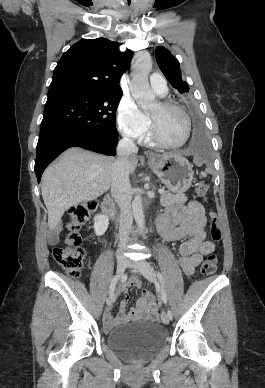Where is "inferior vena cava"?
I'll list each match as a JSON object with an SVG mask.
<instances>
[{
  "mask_svg": "<svg viewBox=\"0 0 265 388\" xmlns=\"http://www.w3.org/2000/svg\"><path fill=\"white\" fill-rule=\"evenodd\" d=\"M116 152L117 158L112 166L111 194L120 208L119 250H117V256H122L121 252L127 244L133 224L128 158L131 154H137L138 148L133 144L131 138L125 136L123 140H120Z\"/></svg>",
  "mask_w": 265,
  "mask_h": 388,
  "instance_id": "1",
  "label": "inferior vena cava"
}]
</instances>
